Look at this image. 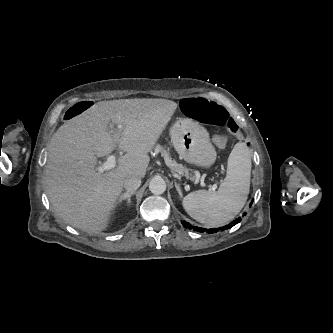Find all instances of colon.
<instances>
[{"label": "colon", "mask_w": 333, "mask_h": 333, "mask_svg": "<svg viewBox=\"0 0 333 333\" xmlns=\"http://www.w3.org/2000/svg\"><path fill=\"white\" fill-rule=\"evenodd\" d=\"M93 106L92 101L79 102L67 110L64 119L71 120ZM181 107L183 112L191 118L214 127L224 128L233 136L240 138L243 136L242 127L235 123L227 111L208 99L189 97L182 101Z\"/></svg>", "instance_id": "1"}]
</instances>
